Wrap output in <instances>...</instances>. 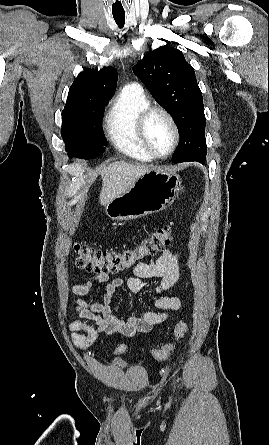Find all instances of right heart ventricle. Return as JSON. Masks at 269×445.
<instances>
[{
  "instance_id": "e07e8e85",
  "label": "right heart ventricle",
  "mask_w": 269,
  "mask_h": 445,
  "mask_svg": "<svg viewBox=\"0 0 269 445\" xmlns=\"http://www.w3.org/2000/svg\"><path fill=\"white\" fill-rule=\"evenodd\" d=\"M150 101L140 89L125 86L113 101L107 117L106 131L114 147L126 156L138 161L150 162V155L140 143L137 121Z\"/></svg>"
}]
</instances>
